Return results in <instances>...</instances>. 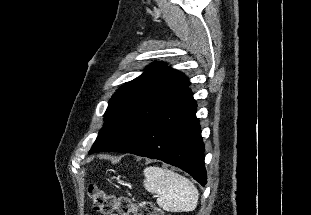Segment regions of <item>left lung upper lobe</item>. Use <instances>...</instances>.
Returning <instances> with one entry per match:
<instances>
[{"instance_id": "obj_1", "label": "left lung upper lobe", "mask_w": 311, "mask_h": 215, "mask_svg": "<svg viewBox=\"0 0 311 215\" xmlns=\"http://www.w3.org/2000/svg\"><path fill=\"white\" fill-rule=\"evenodd\" d=\"M190 85L188 77L164 62H154L144 73L120 87L108 102L104 124L89 154L119 151L145 124Z\"/></svg>"}]
</instances>
